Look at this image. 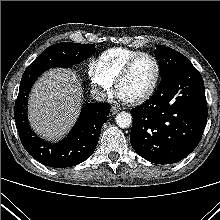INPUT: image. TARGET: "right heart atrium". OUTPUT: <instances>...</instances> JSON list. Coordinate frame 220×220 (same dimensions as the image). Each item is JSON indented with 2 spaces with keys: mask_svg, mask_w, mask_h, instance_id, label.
<instances>
[{
  "mask_svg": "<svg viewBox=\"0 0 220 220\" xmlns=\"http://www.w3.org/2000/svg\"><path fill=\"white\" fill-rule=\"evenodd\" d=\"M88 76L92 87L100 96L104 97L111 92L114 81L106 75L98 61L90 62Z\"/></svg>",
  "mask_w": 220,
  "mask_h": 220,
  "instance_id": "obj_1",
  "label": "right heart atrium"
}]
</instances>
